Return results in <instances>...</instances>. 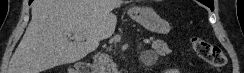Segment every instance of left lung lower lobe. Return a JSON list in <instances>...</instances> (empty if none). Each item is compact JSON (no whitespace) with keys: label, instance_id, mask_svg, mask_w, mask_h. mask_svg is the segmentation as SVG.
I'll return each instance as SVG.
<instances>
[{"label":"left lung lower lobe","instance_id":"left-lung-lower-lobe-1","mask_svg":"<svg viewBox=\"0 0 244 73\" xmlns=\"http://www.w3.org/2000/svg\"><path fill=\"white\" fill-rule=\"evenodd\" d=\"M200 2L208 6L212 11L214 10V4L213 6L211 5L213 3V0H204V1L201 0Z\"/></svg>","mask_w":244,"mask_h":73}]
</instances>
